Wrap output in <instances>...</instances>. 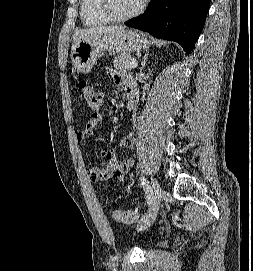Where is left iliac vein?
<instances>
[{"instance_id":"4c4485c4","label":"left iliac vein","mask_w":253,"mask_h":271,"mask_svg":"<svg viewBox=\"0 0 253 271\" xmlns=\"http://www.w3.org/2000/svg\"><path fill=\"white\" fill-rule=\"evenodd\" d=\"M164 196L165 193L162 191L159 183L155 179H153L152 195L149 202V209L147 214L141 219L139 229H146L154 222L158 214L160 202L164 198Z\"/></svg>"}]
</instances>
